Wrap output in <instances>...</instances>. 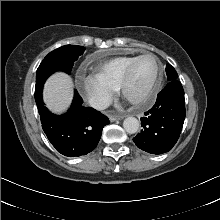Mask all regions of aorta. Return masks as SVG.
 <instances>
[{
	"label": "aorta",
	"instance_id": "762f6f07",
	"mask_svg": "<svg viewBox=\"0 0 220 220\" xmlns=\"http://www.w3.org/2000/svg\"><path fill=\"white\" fill-rule=\"evenodd\" d=\"M125 131L129 134H134L139 129V121L135 117H127L123 122Z\"/></svg>",
	"mask_w": 220,
	"mask_h": 220
}]
</instances>
